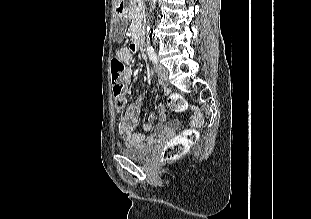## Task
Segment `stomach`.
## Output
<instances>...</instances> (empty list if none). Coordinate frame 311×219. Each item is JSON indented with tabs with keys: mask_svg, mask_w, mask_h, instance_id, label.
Returning a JSON list of instances; mask_svg holds the SVG:
<instances>
[{
	"mask_svg": "<svg viewBox=\"0 0 311 219\" xmlns=\"http://www.w3.org/2000/svg\"><path fill=\"white\" fill-rule=\"evenodd\" d=\"M116 18H120V19H123L125 22H126V17L124 15H121V14H117L116 15Z\"/></svg>",
	"mask_w": 311,
	"mask_h": 219,
	"instance_id": "1",
	"label": "stomach"
}]
</instances>
